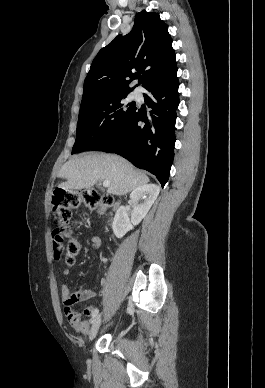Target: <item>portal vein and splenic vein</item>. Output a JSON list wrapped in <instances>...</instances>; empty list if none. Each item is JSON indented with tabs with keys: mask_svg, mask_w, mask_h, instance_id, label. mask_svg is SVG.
Instances as JSON below:
<instances>
[{
	"mask_svg": "<svg viewBox=\"0 0 265 388\" xmlns=\"http://www.w3.org/2000/svg\"><path fill=\"white\" fill-rule=\"evenodd\" d=\"M103 186L104 188H108V186H110V182H108V180H104Z\"/></svg>",
	"mask_w": 265,
	"mask_h": 388,
	"instance_id": "18ae733b",
	"label": "portal vein and splenic vein"
}]
</instances>
